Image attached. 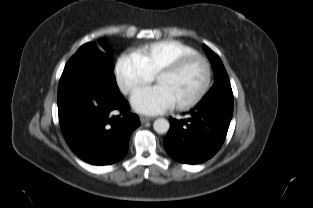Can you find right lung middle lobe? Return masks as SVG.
Instances as JSON below:
<instances>
[{
  "label": "right lung middle lobe",
  "mask_w": 313,
  "mask_h": 208,
  "mask_svg": "<svg viewBox=\"0 0 313 208\" xmlns=\"http://www.w3.org/2000/svg\"><path fill=\"white\" fill-rule=\"evenodd\" d=\"M80 57H88L92 58L102 64L104 69L108 71H113V65L110 58L103 53L94 43H86L73 55L65 66L66 69L71 67L72 63H74Z\"/></svg>",
  "instance_id": "dd1d6c3e"
}]
</instances>
